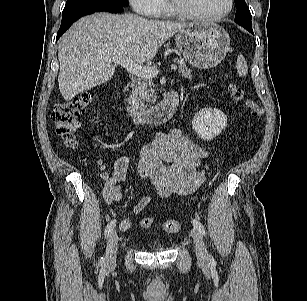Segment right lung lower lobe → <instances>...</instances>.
<instances>
[{
  "instance_id": "right-lung-lower-lobe-1",
  "label": "right lung lower lobe",
  "mask_w": 307,
  "mask_h": 301,
  "mask_svg": "<svg viewBox=\"0 0 307 301\" xmlns=\"http://www.w3.org/2000/svg\"><path fill=\"white\" fill-rule=\"evenodd\" d=\"M107 11L111 13H119L123 11L122 6L116 5H97L91 6L85 9H81L79 11H75L62 16V22L60 29L57 33L56 41L65 33V31L71 26L73 22L79 19L82 16L92 14L94 12Z\"/></svg>"
}]
</instances>
